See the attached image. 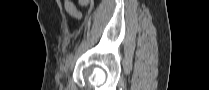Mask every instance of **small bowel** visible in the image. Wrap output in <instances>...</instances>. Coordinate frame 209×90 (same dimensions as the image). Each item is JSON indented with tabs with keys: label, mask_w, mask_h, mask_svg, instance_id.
Returning a JSON list of instances; mask_svg holds the SVG:
<instances>
[{
	"label": "small bowel",
	"mask_w": 209,
	"mask_h": 90,
	"mask_svg": "<svg viewBox=\"0 0 209 90\" xmlns=\"http://www.w3.org/2000/svg\"><path fill=\"white\" fill-rule=\"evenodd\" d=\"M79 3H80V5L85 6V5H87L89 3V1H87V0H80ZM64 8L74 18H80L81 17L80 11L75 7L73 2L65 1L64 2Z\"/></svg>",
	"instance_id": "obj_1"
}]
</instances>
